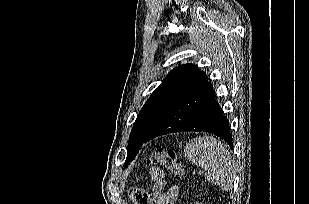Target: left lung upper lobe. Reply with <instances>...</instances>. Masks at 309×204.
I'll return each instance as SVG.
<instances>
[{
  "mask_svg": "<svg viewBox=\"0 0 309 204\" xmlns=\"http://www.w3.org/2000/svg\"><path fill=\"white\" fill-rule=\"evenodd\" d=\"M206 82V73L193 64L180 65L166 76L137 116L129 137L124 166L136 157L146 135L160 116L178 100Z\"/></svg>",
  "mask_w": 309,
  "mask_h": 204,
  "instance_id": "1",
  "label": "left lung upper lobe"
}]
</instances>
